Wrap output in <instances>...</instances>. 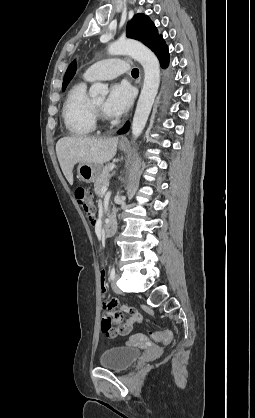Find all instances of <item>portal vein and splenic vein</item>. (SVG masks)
<instances>
[{"label":"portal vein and splenic vein","instance_id":"18ae733b","mask_svg":"<svg viewBox=\"0 0 255 418\" xmlns=\"http://www.w3.org/2000/svg\"><path fill=\"white\" fill-rule=\"evenodd\" d=\"M107 191V187L102 188V193H105Z\"/></svg>","mask_w":255,"mask_h":418}]
</instances>
